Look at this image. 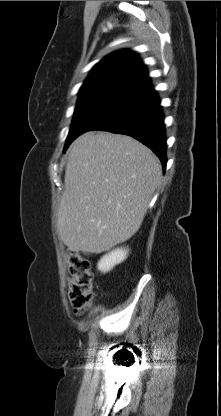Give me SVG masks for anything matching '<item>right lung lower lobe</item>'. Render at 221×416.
Wrapping results in <instances>:
<instances>
[{
  "label": "right lung lower lobe",
  "mask_w": 221,
  "mask_h": 416,
  "mask_svg": "<svg viewBox=\"0 0 221 416\" xmlns=\"http://www.w3.org/2000/svg\"><path fill=\"white\" fill-rule=\"evenodd\" d=\"M92 130L125 134L148 146L166 169V140L164 116L160 99L153 88L124 98Z\"/></svg>",
  "instance_id": "1"
}]
</instances>
